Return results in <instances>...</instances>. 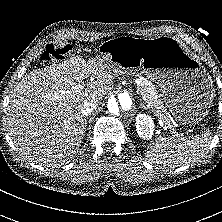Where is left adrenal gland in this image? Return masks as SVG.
Masks as SVG:
<instances>
[{
  "label": "left adrenal gland",
  "instance_id": "left-adrenal-gland-1",
  "mask_svg": "<svg viewBox=\"0 0 222 222\" xmlns=\"http://www.w3.org/2000/svg\"><path fill=\"white\" fill-rule=\"evenodd\" d=\"M140 106H141L143 109H147V107L145 106V104H143L141 101H140Z\"/></svg>",
  "mask_w": 222,
  "mask_h": 222
}]
</instances>
